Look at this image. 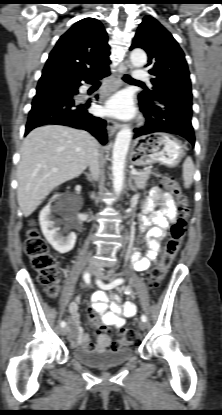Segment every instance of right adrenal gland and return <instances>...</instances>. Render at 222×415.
<instances>
[{
	"mask_svg": "<svg viewBox=\"0 0 222 415\" xmlns=\"http://www.w3.org/2000/svg\"><path fill=\"white\" fill-rule=\"evenodd\" d=\"M84 174L86 175V177H87V180L89 181V182H92V177H91V175L90 174H88V173H86V172H84Z\"/></svg>",
	"mask_w": 222,
	"mask_h": 415,
	"instance_id": "1",
	"label": "right adrenal gland"
}]
</instances>
